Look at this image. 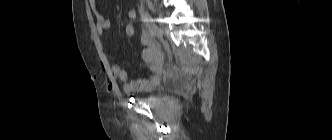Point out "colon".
Segmentation results:
<instances>
[{"instance_id": "colon-1", "label": "colon", "mask_w": 332, "mask_h": 140, "mask_svg": "<svg viewBox=\"0 0 332 140\" xmlns=\"http://www.w3.org/2000/svg\"><path fill=\"white\" fill-rule=\"evenodd\" d=\"M124 32L127 36L131 37L135 33V28L132 22H126L124 25Z\"/></svg>"}]
</instances>
